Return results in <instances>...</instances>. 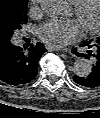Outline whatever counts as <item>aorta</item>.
<instances>
[{
    "label": "aorta",
    "mask_w": 100,
    "mask_h": 118,
    "mask_svg": "<svg viewBox=\"0 0 100 118\" xmlns=\"http://www.w3.org/2000/svg\"><path fill=\"white\" fill-rule=\"evenodd\" d=\"M43 9L55 17H65L69 13V5L66 0H43ZM92 65L86 58H78L73 65L74 73L79 77H86L91 73Z\"/></svg>",
    "instance_id": "1"
}]
</instances>
